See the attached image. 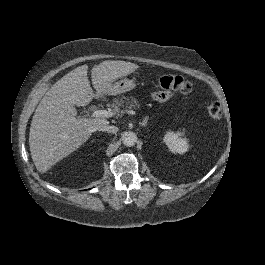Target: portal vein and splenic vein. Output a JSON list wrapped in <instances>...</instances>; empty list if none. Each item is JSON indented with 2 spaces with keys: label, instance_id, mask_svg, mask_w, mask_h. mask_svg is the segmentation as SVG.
<instances>
[{
  "label": "portal vein and splenic vein",
  "instance_id": "obj_1",
  "mask_svg": "<svg viewBox=\"0 0 265 265\" xmlns=\"http://www.w3.org/2000/svg\"><path fill=\"white\" fill-rule=\"evenodd\" d=\"M126 114L127 115H131V116H134L135 115V112L134 111L127 110L126 111ZM113 115H114V113L112 111L96 110V111L93 112L92 117H106V118H109V117H112Z\"/></svg>",
  "mask_w": 265,
  "mask_h": 265
}]
</instances>
